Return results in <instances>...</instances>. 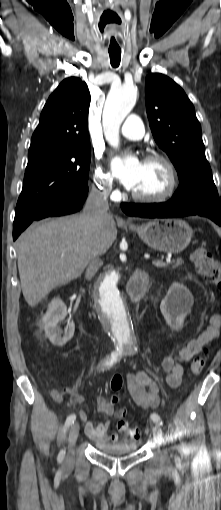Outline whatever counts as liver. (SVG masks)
<instances>
[{"instance_id": "1", "label": "liver", "mask_w": 221, "mask_h": 510, "mask_svg": "<svg viewBox=\"0 0 221 510\" xmlns=\"http://www.w3.org/2000/svg\"><path fill=\"white\" fill-rule=\"evenodd\" d=\"M117 237L112 216L94 228L83 212L31 225L17 240L23 296L36 306L54 288L78 278L91 253L104 254Z\"/></svg>"}]
</instances>
